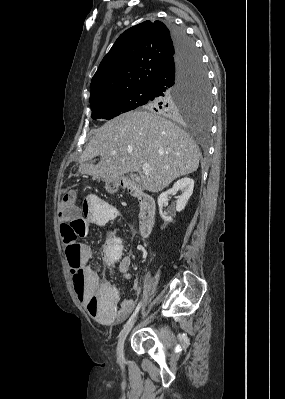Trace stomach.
<instances>
[{"label":"stomach","instance_id":"obj_1","mask_svg":"<svg viewBox=\"0 0 285 399\" xmlns=\"http://www.w3.org/2000/svg\"><path fill=\"white\" fill-rule=\"evenodd\" d=\"M120 183L116 179H110L105 182V188L110 193H115L118 190Z\"/></svg>","mask_w":285,"mask_h":399}]
</instances>
